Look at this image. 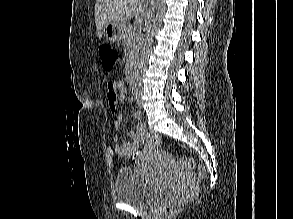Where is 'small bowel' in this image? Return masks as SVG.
<instances>
[{
	"mask_svg": "<svg viewBox=\"0 0 293 219\" xmlns=\"http://www.w3.org/2000/svg\"><path fill=\"white\" fill-rule=\"evenodd\" d=\"M107 99L112 112H115L117 104L121 103L126 97V87L123 82H108L107 84ZM123 124V117L121 114L115 115L114 128L120 129ZM131 141L123 144L119 143V137L115 135L113 141L115 143L116 153L124 158H130L134 152L145 142L147 138V131L142 124H138L135 130L130 131Z\"/></svg>",
	"mask_w": 293,
	"mask_h": 219,
	"instance_id": "1",
	"label": "small bowel"
}]
</instances>
